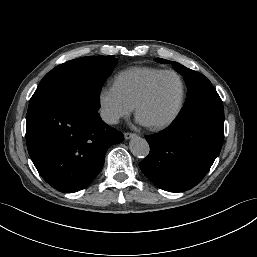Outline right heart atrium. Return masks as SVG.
<instances>
[{
    "label": "right heart atrium",
    "mask_w": 257,
    "mask_h": 257,
    "mask_svg": "<svg viewBox=\"0 0 257 257\" xmlns=\"http://www.w3.org/2000/svg\"><path fill=\"white\" fill-rule=\"evenodd\" d=\"M98 102L101 117L109 124L118 123L134 110V105L128 102L114 86L101 88Z\"/></svg>",
    "instance_id": "d8ad5b80"
}]
</instances>
